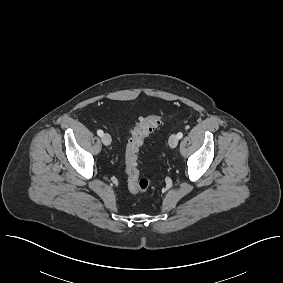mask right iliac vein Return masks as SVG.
I'll list each match as a JSON object with an SVG mask.
<instances>
[{
  "label": "right iliac vein",
  "mask_w": 283,
  "mask_h": 283,
  "mask_svg": "<svg viewBox=\"0 0 283 283\" xmlns=\"http://www.w3.org/2000/svg\"><path fill=\"white\" fill-rule=\"evenodd\" d=\"M111 141H112L111 136L108 133L103 134L102 142H103L104 145H106V146L110 145Z\"/></svg>",
  "instance_id": "63e3f726"
}]
</instances>
